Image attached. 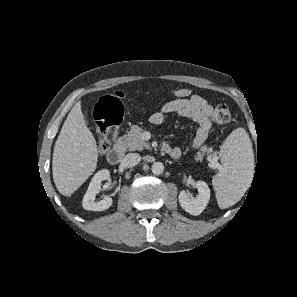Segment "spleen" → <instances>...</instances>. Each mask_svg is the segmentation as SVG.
I'll return each instance as SVG.
<instances>
[{"instance_id":"spleen-1","label":"spleen","mask_w":297,"mask_h":297,"mask_svg":"<svg viewBox=\"0 0 297 297\" xmlns=\"http://www.w3.org/2000/svg\"><path fill=\"white\" fill-rule=\"evenodd\" d=\"M220 173L213 178L218 199L234 203L238 201L250 183L254 153L252 142L244 128L235 129L220 150Z\"/></svg>"}]
</instances>
